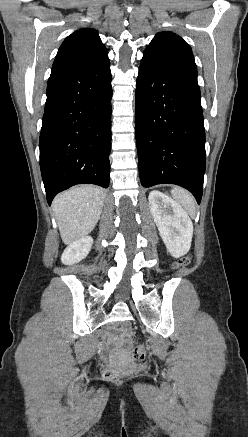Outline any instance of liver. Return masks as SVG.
Masks as SVG:
<instances>
[{
    "mask_svg": "<svg viewBox=\"0 0 248 437\" xmlns=\"http://www.w3.org/2000/svg\"><path fill=\"white\" fill-rule=\"evenodd\" d=\"M104 199V190L93 185L77 186L56 196L52 206L64 244H72L94 229Z\"/></svg>",
    "mask_w": 248,
    "mask_h": 437,
    "instance_id": "1",
    "label": "liver"
}]
</instances>
